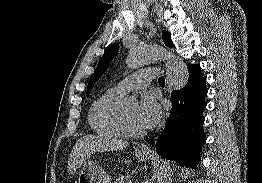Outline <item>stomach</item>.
Returning a JSON list of instances; mask_svg holds the SVG:
<instances>
[{
	"mask_svg": "<svg viewBox=\"0 0 262 183\" xmlns=\"http://www.w3.org/2000/svg\"><path fill=\"white\" fill-rule=\"evenodd\" d=\"M136 157L145 161L150 153L137 150ZM76 183H111V178L96 162L88 160L80 167Z\"/></svg>",
	"mask_w": 262,
	"mask_h": 183,
	"instance_id": "1",
	"label": "stomach"
}]
</instances>
